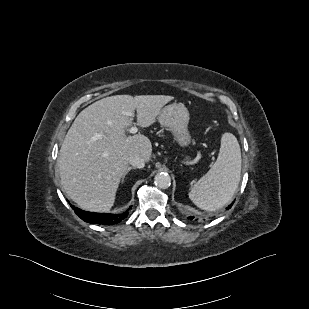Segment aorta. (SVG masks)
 <instances>
[{
	"instance_id": "1",
	"label": "aorta",
	"mask_w": 309,
	"mask_h": 309,
	"mask_svg": "<svg viewBox=\"0 0 309 309\" xmlns=\"http://www.w3.org/2000/svg\"><path fill=\"white\" fill-rule=\"evenodd\" d=\"M154 183L157 187L167 189L171 185V177L166 172H160L155 175Z\"/></svg>"
}]
</instances>
